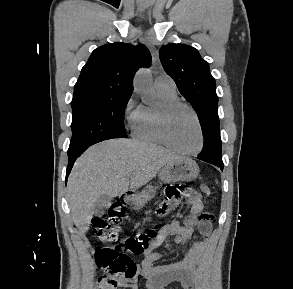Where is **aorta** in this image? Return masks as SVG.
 Here are the masks:
<instances>
[{
    "mask_svg": "<svg viewBox=\"0 0 293 289\" xmlns=\"http://www.w3.org/2000/svg\"><path fill=\"white\" fill-rule=\"evenodd\" d=\"M134 87L141 92L144 97V102H150L154 98L152 88V79L150 71L147 68H141L134 78Z\"/></svg>",
    "mask_w": 293,
    "mask_h": 289,
    "instance_id": "obj_1",
    "label": "aorta"
}]
</instances>
